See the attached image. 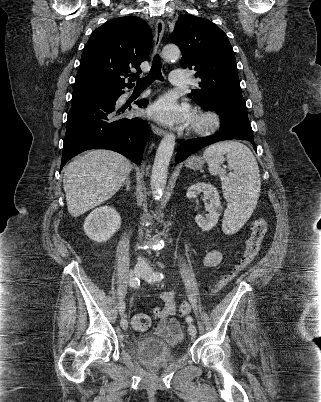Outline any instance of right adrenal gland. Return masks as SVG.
<instances>
[{
  "label": "right adrenal gland",
  "instance_id": "1",
  "mask_svg": "<svg viewBox=\"0 0 321 402\" xmlns=\"http://www.w3.org/2000/svg\"><path fill=\"white\" fill-rule=\"evenodd\" d=\"M126 185V189H130V177H127L125 182L123 183L122 187Z\"/></svg>",
  "mask_w": 321,
  "mask_h": 402
}]
</instances>
